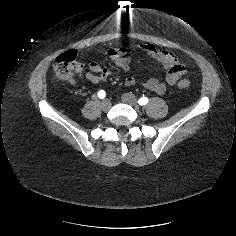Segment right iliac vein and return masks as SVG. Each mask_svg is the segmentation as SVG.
Masks as SVG:
<instances>
[{
    "label": "right iliac vein",
    "instance_id": "obj_1",
    "mask_svg": "<svg viewBox=\"0 0 236 236\" xmlns=\"http://www.w3.org/2000/svg\"><path fill=\"white\" fill-rule=\"evenodd\" d=\"M111 107V102L108 100V99H105L101 102V108L104 110V111H108Z\"/></svg>",
    "mask_w": 236,
    "mask_h": 236
}]
</instances>
